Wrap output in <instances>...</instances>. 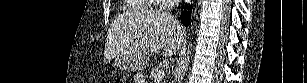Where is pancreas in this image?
I'll list each match as a JSON object with an SVG mask.
<instances>
[{"mask_svg":"<svg viewBox=\"0 0 307 83\" xmlns=\"http://www.w3.org/2000/svg\"><path fill=\"white\" fill-rule=\"evenodd\" d=\"M158 72H159V68H153L151 70L150 77L154 79L157 76Z\"/></svg>","mask_w":307,"mask_h":83,"instance_id":"obj_1","label":"pancreas"}]
</instances>
